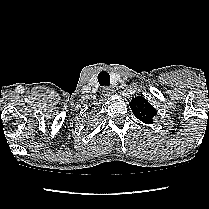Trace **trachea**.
<instances>
[{
  "label": "trachea",
  "mask_w": 209,
  "mask_h": 209,
  "mask_svg": "<svg viewBox=\"0 0 209 209\" xmlns=\"http://www.w3.org/2000/svg\"><path fill=\"white\" fill-rule=\"evenodd\" d=\"M98 82L100 86H109L110 85V75L106 71H101L98 74Z\"/></svg>",
  "instance_id": "3493384b"
}]
</instances>
